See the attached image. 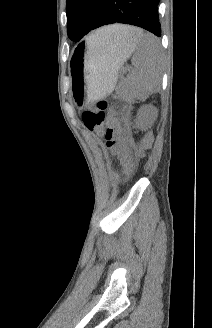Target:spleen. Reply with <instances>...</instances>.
Returning a JSON list of instances; mask_svg holds the SVG:
<instances>
[{"label": "spleen", "instance_id": "1", "mask_svg": "<svg viewBox=\"0 0 212 328\" xmlns=\"http://www.w3.org/2000/svg\"><path fill=\"white\" fill-rule=\"evenodd\" d=\"M103 29V28H102ZM97 30L88 37L89 46L100 47L103 37ZM136 53L132 58L134 70L129 74V83L140 95H149L158 89L162 76V52L157 38L141 30L135 35Z\"/></svg>", "mask_w": 212, "mask_h": 328}]
</instances>
